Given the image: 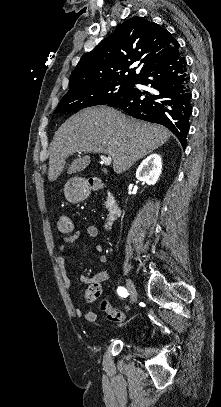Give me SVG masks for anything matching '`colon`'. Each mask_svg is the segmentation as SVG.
Wrapping results in <instances>:
<instances>
[{
  "label": "colon",
  "instance_id": "1",
  "mask_svg": "<svg viewBox=\"0 0 221 407\" xmlns=\"http://www.w3.org/2000/svg\"><path fill=\"white\" fill-rule=\"evenodd\" d=\"M72 230V223L68 216L62 215L57 222V231L59 234H67ZM101 296L100 285L98 283H91L87 292V302L93 303ZM101 309L104 311L108 319L115 323H121L124 319L122 310L111 308L106 300L102 301Z\"/></svg>",
  "mask_w": 221,
  "mask_h": 407
}]
</instances>
